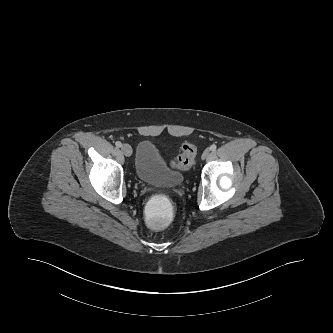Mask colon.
I'll return each instance as SVG.
<instances>
[{
  "label": "colon",
  "mask_w": 333,
  "mask_h": 333,
  "mask_svg": "<svg viewBox=\"0 0 333 333\" xmlns=\"http://www.w3.org/2000/svg\"><path fill=\"white\" fill-rule=\"evenodd\" d=\"M196 156V147L191 143L182 146V152L173 161L174 167L180 170L189 169ZM145 224L154 231L165 230L172 223L174 209L167 197L156 195L144 207Z\"/></svg>",
  "instance_id": "5ec220e1"
}]
</instances>
